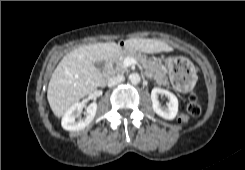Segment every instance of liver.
Masks as SVG:
<instances>
[{"label":"liver","instance_id":"6515ba94","mask_svg":"<svg viewBox=\"0 0 245 170\" xmlns=\"http://www.w3.org/2000/svg\"><path fill=\"white\" fill-rule=\"evenodd\" d=\"M124 48L149 54L172 50L161 40L137 38L125 40ZM121 50L117 43L107 42L82 45L67 53L52 73L48 85L47 99L54 115L62 117L73 104L100 86L102 73L94 63L113 58Z\"/></svg>","mask_w":245,"mask_h":170}]
</instances>
